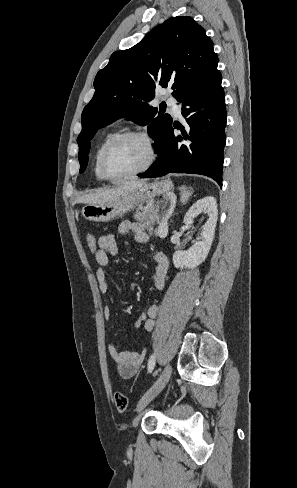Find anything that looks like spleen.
Returning a JSON list of instances; mask_svg holds the SVG:
<instances>
[{"label":"spleen","instance_id":"3e777b00","mask_svg":"<svg viewBox=\"0 0 297 488\" xmlns=\"http://www.w3.org/2000/svg\"><path fill=\"white\" fill-rule=\"evenodd\" d=\"M190 196H191V193H189L188 191L184 190L183 191V194L181 196V202H184L185 203Z\"/></svg>","mask_w":297,"mask_h":488}]
</instances>
